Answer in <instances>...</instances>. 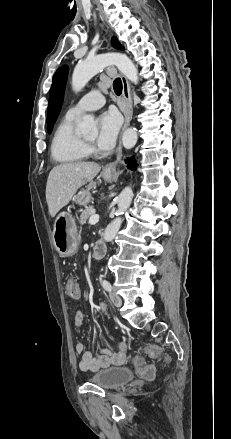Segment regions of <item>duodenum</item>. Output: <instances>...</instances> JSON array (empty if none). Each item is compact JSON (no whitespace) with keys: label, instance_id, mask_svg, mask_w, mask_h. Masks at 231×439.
<instances>
[{"label":"duodenum","instance_id":"duodenum-1","mask_svg":"<svg viewBox=\"0 0 231 439\" xmlns=\"http://www.w3.org/2000/svg\"><path fill=\"white\" fill-rule=\"evenodd\" d=\"M107 251L106 245L99 241L97 242L92 249V256L94 259H101L105 256Z\"/></svg>","mask_w":231,"mask_h":439}]
</instances>
